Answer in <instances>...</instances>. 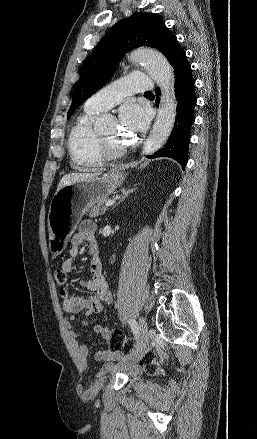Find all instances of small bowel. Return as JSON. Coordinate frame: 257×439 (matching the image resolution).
I'll return each mask as SVG.
<instances>
[{
	"mask_svg": "<svg viewBox=\"0 0 257 439\" xmlns=\"http://www.w3.org/2000/svg\"><path fill=\"white\" fill-rule=\"evenodd\" d=\"M96 226L90 220H85L80 224L78 231L71 237V248L69 250L70 258L62 263L61 269L66 273L72 272L74 268V258L78 255L80 247L87 243L88 250L92 255L90 262L91 277L84 281L83 285L89 290L93 291V295L86 298L78 295H71L66 289L60 290V295L63 299V310L69 313L70 321L75 320V314L83 312L84 315L89 316L93 313H100L104 311L105 307L112 301V296L109 290L108 283L105 279L102 269V263L98 256L99 245L95 239ZM84 324H86L84 322ZM94 332L107 339L110 329L103 325L97 324L94 326ZM70 337L77 343L78 357L83 369L88 367L89 351L86 345L79 342L78 335L75 331L70 330ZM94 360L103 362V370L111 371L114 368L113 362L121 359V356L112 352L109 349L98 350L93 355ZM124 372L128 375H135L139 372L137 366H129Z\"/></svg>",
	"mask_w": 257,
	"mask_h": 439,
	"instance_id": "small-bowel-1",
	"label": "small bowel"
}]
</instances>
